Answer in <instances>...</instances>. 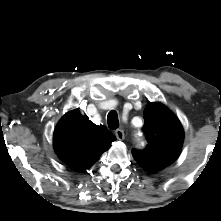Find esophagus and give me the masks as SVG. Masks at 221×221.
Wrapping results in <instances>:
<instances>
[{
    "label": "esophagus",
    "instance_id": "esophagus-1",
    "mask_svg": "<svg viewBox=\"0 0 221 221\" xmlns=\"http://www.w3.org/2000/svg\"><path fill=\"white\" fill-rule=\"evenodd\" d=\"M115 135H116L118 140H123L125 138V134H124V131L122 129H117L115 131Z\"/></svg>",
    "mask_w": 221,
    "mask_h": 221
}]
</instances>
